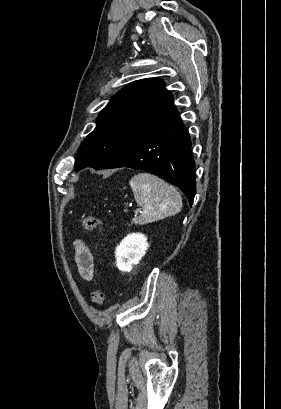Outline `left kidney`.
<instances>
[{"label": "left kidney", "mask_w": 281, "mask_h": 409, "mask_svg": "<svg viewBox=\"0 0 281 409\" xmlns=\"http://www.w3.org/2000/svg\"><path fill=\"white\" fill-rule=\"evenodd\" d=\"M148 247L145 235H141V233L127 235L116 247L115 251L116 265L119 271L130 273L133 265H138L139 261L144 257Z\"/></svg>", "instance_id": "1"}]
</instances>
